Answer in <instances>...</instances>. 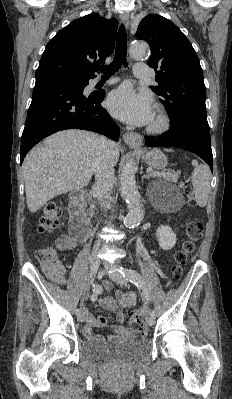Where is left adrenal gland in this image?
<instances>
[{"mask_svg": "<svg viewBox=\"0 0 232 399\" xmlns=\"http://www.w3.org/2000/svg\"><path fill=\"white\" fill-rule=\"evenodd\" d=\"M148 174H149V172H148ZM143 178H147V174H146V176H143Z\"/></svg>", "mask_w": 232, "mask_h": 399, "instance_id": "a2214340", "label": "left adrenal gland"}]
</instances>
